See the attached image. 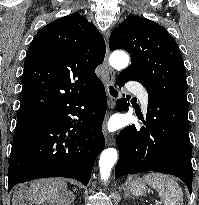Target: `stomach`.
<instances>
[{
	"instance_id": "0dacf381",
	"label": "stomach",
	"mask_w": 199,
	"mask_h": 205,
	"mask_svg": "<svg viewBox=\"0 0 199 205\" xmlns=\"http://www.w3.org/2000/svg\"><path fill=\"white\" fill-rule=\"evenodd\" d=\"M128 190L134 196H141L147 191L146 182L141 178H135L129 183Z\"/></svg>"
}]
</instances>
